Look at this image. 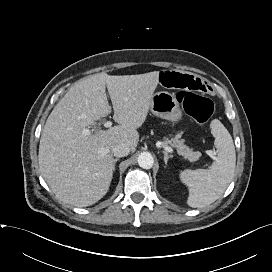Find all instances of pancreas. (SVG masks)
Here are the masks:
<instances>
[{
  "mask_svg": "<svg viewBox=\"0 0 272 272\" xmlns=\"http://www.w3.org/2000/svg\"><path fill=\"white\" fill-rule=\"evenodd\" d=\"M179 135L175 138H172L171 140L166 139L163 141L162 145L165 146H171L173 148L177 149L178 154L182 155L185 159H187L190 162L198 161L202 154L199 151H194L193 149H190L188 146L184 145V140H179Z\"/></svg>",
  "mask_w": 272,
  "mask_h": 272,
  "instance_id": "cf45deb5",
  "label": "pancreas"
}]
</instances>
